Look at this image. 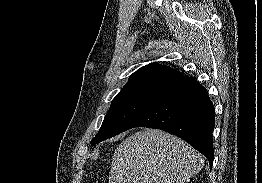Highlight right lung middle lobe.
<instances>
[{
    "instance_id": "right-lung-middle-lobe-1",
    "label": "right lung middle lobe",
    "mask_w": 262,
    "mask_h": 183,
    "mask_svg": "<svg viewBox=\"0 0 262 183\" xmlns=\"http://www.w3.org/2000/svg\"><path fill=\"white\" fill-rule=\"evenodd\" d=\"M157 92L147 90L117 94L111 103L98 134L91 140V145L123 132L126 125L145 108Z\"/></svg>"
}]
</instances>
